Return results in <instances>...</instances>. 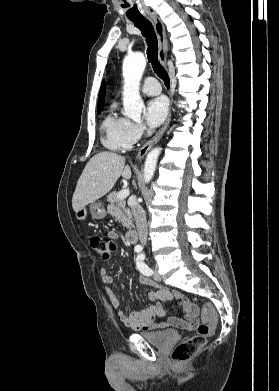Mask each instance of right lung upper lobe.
Returning a JSON list of instances; mask_svg holds the SVG:
<instances>
[{
  "mask_svg": "<svg viewBox=\"0 0 279 391\" xmlns=\"http://www.w3.org/2000/svg\"><path fill=\"white\" fill-rule=\"evenodd\" d=\"M104 97H105V83L102 82V85H101V88H100V92H99V97H98L97 109L98 108H102V104L104 102Z\"/></svg>",
  "mask_w": 279,
  "mask_h": 391,
  "instance_id": "1",
  "label": "right lung upper lobe"
}]
</instances>
